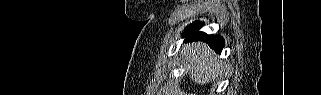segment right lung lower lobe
<instances>
[{
  "mask_svg": "<svg viewBox=\"0 0 321 95\" xmlns=\"http://www.w3.org/2000/svg\"><path fill=\"white\" fill-rule=\"evenodd\" d=\"M202 26L201 22H195L187 28L184 32L185 42L191 41H204L207 42L208 45L215 50L217 53H220L223 49L225 42L221 36L217 35H207L204 32H199L198 29Z\"/></svg>",
  "mask_w": 321,
  "mask_h": 95,
  "instance_id": "98d812e1",
  "label": "right lung lower lobe"
}]
</instances>
